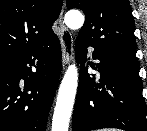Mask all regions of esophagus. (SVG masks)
Listing matches in <instances>:
<instances>
[{"label": "esophagus", "mask_w": 147, "mask_h": 131, "mask_svg": "<svg viewBox=\"0 0 147 131\" xmlns=\"http://www.w3.org/2000/svg\"><path fill=\"white\" fill-rule=\"evenodd\" d=\"M59 26L61 29L60 42L62 47V62L63 69L73 60V37L69 29L65 26L63 21V9L59 15Z\"/></svg>", "instance_id": "obj_1"}]
</instances>
